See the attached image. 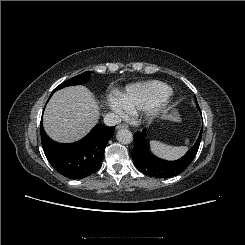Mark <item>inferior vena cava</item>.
I'll list each match as a JSON object with an SVG mask.
<instances>
[{
	"label": "inferior vena cava",
	"instance_id": "obj_1",
	"mask_svg": "<svg viewBox=\"0 0 245 245\" xmlns=\"http://www.w3.org/2000/svg\"><path fill=\"white\" fill-rule=\"evenodd\" d=\"M121 122L120 116L114 114V113H108L104 117V123L107 126H115Z\"/></svg>",
	"mask_w": 245,
	"mask_h": 245
}]
</instances>
